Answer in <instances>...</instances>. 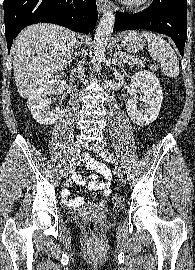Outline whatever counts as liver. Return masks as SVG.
Instances as JSON below:
<instances>
[{"label":"liver","mask_w":195,"mask_h":270,"mask_svg":"<svg viewBox=\"0 0 195 270\" xmlns=\"http://www.w3.org/2000/svg\"><path fill=\"white\" fill-rule=\"evenodd\" d=\"M75 43L76 34L59 25L42 23L22 30L11 48L19 95L29 97L57 78L70 62Z\"/></svg>","instance_id":"6515ba94"}]
</instances>
